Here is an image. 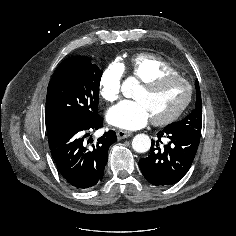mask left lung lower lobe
Returning <instances> with one entry per match:
<instances>
[{
    "instance_id": "obj_1",
    "label": "left lung lower lobe",
    "mask_w": 236,
    "mask_h": 236,
    "mask_svg": "<svg viewBox=\"0 0 236 236\" xmlns=\"http://www.w3.org/2000/svg\"><path fill=\"white\" fill-rule=\"evenodd\" d=\"M161 138L168 143L162 146ZM200 135L166 126L152 140L151 153L140 159V169L148 182L155 186L177 183L189 170L196 155Z\"/></svg>"
}]
</instances>
